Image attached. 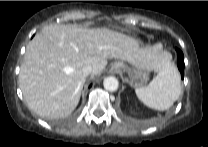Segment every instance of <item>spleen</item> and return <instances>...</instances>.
<instances>
[{"label": "spleen", "instance_id": "1", "mask_svg": "<svg viewBox=\"0 0 208 147\" xmlns=\"http://www.w3.org/2000/svg\"><path fill=\"white\" fill-rule=\"evenodd\" d=\"M180 74L170 60H166L158 74L145 87L135 89L138 99L147 107L163 111L169 109L181 94Z\"/></svg>", "mask_w": 208, "mask_h": 147}]
</instances>
